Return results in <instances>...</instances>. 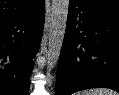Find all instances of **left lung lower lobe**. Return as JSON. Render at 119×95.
<instances>
[{
  "label": "left lung lower lobe",
  "instance_id": "obj_1",
  "mask_svg": "<svg viewBox=\"0 0 119 95\" xmlns=\"http://www.w3.org/2000/svg\"><path fill=\"white\" fill-rule=\"evenodd\" d=\"M96 87L119 92V13L70 0L55 95Z\"/></svg>",
  "mask_w": 119,
  "mask_h": 95
}]
</instances>
